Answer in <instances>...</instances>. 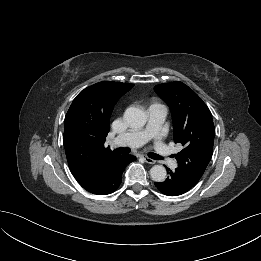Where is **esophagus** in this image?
<instances>
[{
	"mask_svg": "<svg viewBox=\"0 0 261 261\" xmlns=\"http://www.w3.org/2000/svg\"><path fill=\"white\" fill-rule=\"evenodd\" d=\"M145 162L148 164H155V160L149 158V157H143Z\"/></svg>",
	"mask_w": 261,
	"mask_h": 261,
	"instance_id": "34e87169",
	"label": "esophagus"
}]
</instances>
